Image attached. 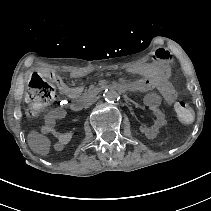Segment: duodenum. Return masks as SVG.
Returning a JSON list of instances; mask_svg holds the SVG:
<instances>
[{"label": "duodenum", "instance_id": "410a0bca", "mask_svg": "<svg viewBox=\"0 0 211 211\" xmlns=\"http://www.w3.org/2000/svg\"><path fill=\"white\" fill-rule=\"evenodd\" d=\"M108 89L117 90L118 92H121V93L137 91L138 83L136 80L115 82V83H112L109 85H103V86L97 88V92H101L103 90H108ZM70 108L73 111H80L82 109V103L80 101H74L71 103Z\"/></svg>", "mask_w": 211, "mask_h": 211}]
</instances>
